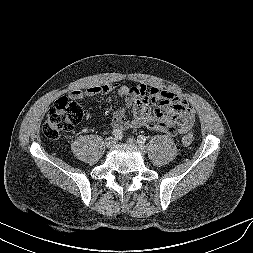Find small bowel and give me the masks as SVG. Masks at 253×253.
Returning a JSON list of instances; mask_svg holds the SVG:
<instances>
[{"label":"small bowel","mask_w":253,"mask_h":253,"mask_svg":"<svg viewBox=\"0 0 253 253\" xmlns=\"http://www.w3.org/2000/svg\"><path fill=\"white\" fill-rule=\"evenodd\" d=\"M113 84L94 85L88 89L73 90L69 96L73 99H94L108 95ZM118 95L124 99L123 107L114 112L112 127L118 130L145 127L152 132L168 135L185 134L191 129L196 113L188 102L176 93L159 88H147L145 85L117 88ZM131 111V118L126 112Z\"/></svg>","instance_id":"obj_1"}]
</instances>
